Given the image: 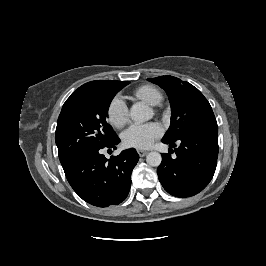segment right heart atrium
<instances>
[{
    "instance_id": "d8ad5b80",
    "label": "right heart atrium",
    "mask_w": 266,
    "mask_h": 266,
    "mask_svg": "<svg viewBox=\"0 0 266 266\" xmlns=\"http://www.w3.org/2000/svg\"><path fill=\"white\" fill-rule=\"evenodd\" d=\"M108 119L117 127H123L129 120L128 107L121 97H115L108 107Z\"/></svg>"
}]
</instances>
